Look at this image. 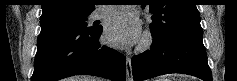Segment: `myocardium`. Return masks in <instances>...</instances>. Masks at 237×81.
Returning a JSON list of instances; mask_svg holds the SVG:
<instances>
[{
	"mask_svg": "<svg viewBox=\"0 0 237 81\" xmlns=\"http://www.w3.org/2000/svg\"><path fill=\"white\" fill-rule=\"evenodd\" d=\"M154 42L153 35L150 31H146L143 34V37L138 45V51L139 52H145L149 50Z\"/></svg>",
	"mask_w": 237,
	"mask_h": 81,
	"instance_id": "myocardium-1",
	"label": "myocardium"
}]
</instances>
